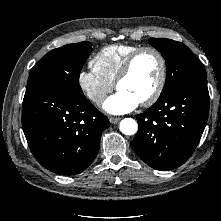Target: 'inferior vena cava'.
<instances>
[{"label":"inferior vena cava","instance_id":"1","mask_svg":"<svg viewBox=\"0 0 221 221\" xmlns=\"http://www.w3.org/2000/svg\"><path fill=\"white\" fill-rule=\"evenodd\" d=\"M105 99V95H98L96 98H95V101L96 102H101Z\"/></svg>","mask_w":221,"mask_h":221}]
</instances>
